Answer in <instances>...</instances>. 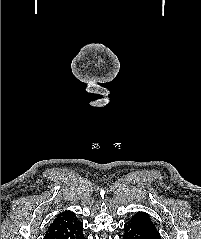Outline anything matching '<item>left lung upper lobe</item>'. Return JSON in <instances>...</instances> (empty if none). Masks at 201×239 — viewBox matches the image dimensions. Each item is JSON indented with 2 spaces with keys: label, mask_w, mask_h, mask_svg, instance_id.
Listing matches in <instances>:
<instances>
[{
  "label": "left lung upper lobe",
  "mask_w": 201,
  "mask_h": 239,
  "mask_svg": "<svg viewBox=\"0 0 201 239\" xmlns=\"http://www.w3.org/2000/svg\"><path fill=\"white\" fill-rule=\"evenodd\" d=\"M131 221L144 224L158 239H161L159 232L157 231L148 214L139 212L132 217Z\"/></svg>",
  "instance_id": "5c2ea615"
}]
</instances>
